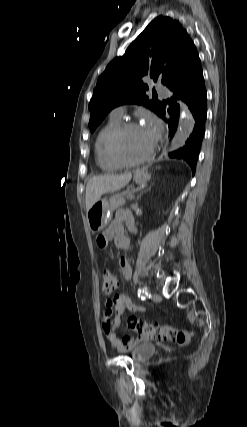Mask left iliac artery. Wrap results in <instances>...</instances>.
I'll use <instances>...</instances> for the list:
<instances>
[{
    "instance_id": "1",
    "label": "left iliac artery",
    "mask_w": 247,
    "mask_h": 427,
    "mask_svg": "<svg viewBox=\"0 0 247 427\" xmlns=\"http://www.w3.org/2000/svg\"><path fill=\"white\" fill-rule=\"evenodd\" d=\"M138 295L141 296L142 299L150 298L151 297V294H150L149 290L147 289V287L139 289L138 290Z\"/></svg>"
}]
</instances>
